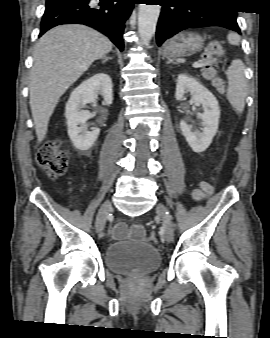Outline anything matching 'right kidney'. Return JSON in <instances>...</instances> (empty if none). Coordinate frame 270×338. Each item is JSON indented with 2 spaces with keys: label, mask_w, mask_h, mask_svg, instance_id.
Returning a JSON list of instances; mask_svg holds the SVG:
<instances>
[{
  "label": "right kidney",
  "mask_w": 270,
  "mask_h": 338,
  "mask_svg": "<svg viewBox=\"0 0 270 338\" xmlns=\"http://www.w3.org/2000/svg\"><path fill=\"white\" fill-rule=\"evenodd\" d=\"M98 94H101L107 105L112 103V80L106 73H98L82 82L70 95L66 104L65 117L67 119L68 135L73 145L79 150H88L92 147L100 130L94 128L87 131L79 125L93 117L88 111L81 110L88 103H95Z\"/></svg>",
  "instance_id": "right-kidney-1"
}]
</instances>
